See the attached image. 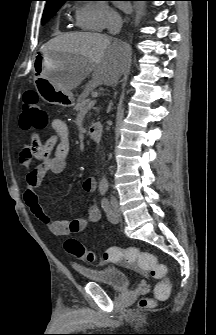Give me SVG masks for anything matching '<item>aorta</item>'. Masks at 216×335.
<instances>
[{"mask_svg": "<svg viewBox=\"0 0 216 335\" xmlns=\"http://www.w3.org/2000/svg\"><path fill=\"white\" fill-rule=\"evenodd\" d=\"M101 183H102V184H106V183H107V179H106L105 176L102 177V179H101Z\"/></svg>", "mask_w": 216, "mask_h": 335, "instance_id": "obj_1", "label": "aorta"}]
</instances>
